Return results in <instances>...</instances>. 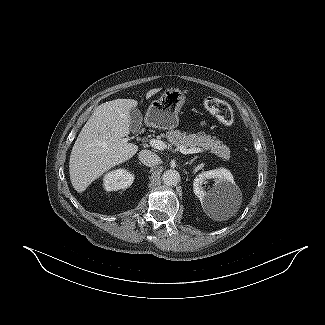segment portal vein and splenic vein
I'll return each instance as SVG.
<instances>
[{
    "instance_id": "obj_1",
    "label": "portal vein and splenic vein",
    "mask_w": 325,
    "mask_h": 325,
    "mask_svg": "<svg viewBox=\"0 0 325 325\" xmlns=\"http://www.w3.org/2000/svg\"><path fill=\"white\" fill-rule=\"evenodd\" d=\"M149 144L155 148V149H158V150H164L167 146L166 144L161 141V140H158V139H151ZM177 149L183 153V154H194V153H201L203 152V149L202 148H199V147H195V148H189L187 149L186 147L182 146V145H179L177 147Z\"/></svg>"
}]
</instances>
